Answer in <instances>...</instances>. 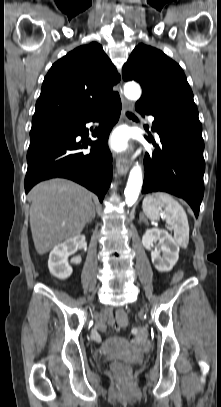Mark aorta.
<instances>
[{"label": "aorta", "mask_w": 221, "mask_h": 407, "mask_svg": "<svg viewBox=\"0 0 221 407\" xmlns=\"http://www.w3.org/2000/svg\"><path fill=\"white\" fill-rule=\"evenodd\" d=\"M124 94L128 99L138 100L141 96L140 86L135 82H128L124 86ZM142 170L139 164H136L130 171L128 182L124 191L125 202L128 206H132L142 188Z\"/></svg>", "instance_id": "1"}]
</instances>
